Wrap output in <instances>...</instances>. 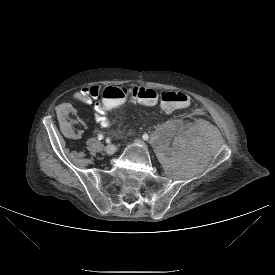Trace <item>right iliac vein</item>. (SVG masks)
Instances as JSON below:
<instances>
[{
  "label": "right iliac vein",
  "mask_w": 275,
  "mask_h": 275,
  "mask_svg": "<svg viewBox=\"0 0 275 275\" xmlns=\"http://www.w3.org/2000/svg\"><path fill=\"white\" fill-rule=\"evenodd\" d=\"M116 149L117 148H116L115 145H113V144L108 145V146L105 147V153L107 155H112V154H114L116 152Z\"/></svg>",
  "instance_id": "obj_1"
}]
</instances>
